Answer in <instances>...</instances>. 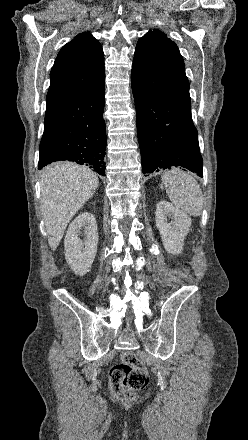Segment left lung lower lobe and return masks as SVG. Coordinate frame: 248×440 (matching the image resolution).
I'll use <instances>...</instances> for the list:
<instances>
[{
	"label": "left lung lower lobe",
	"mask_w": 248,
	"mask_h": 440,
	"mask_svg": "<svg viewBox=\"0 0 248 440\" xmlns=\"http://www.w3.org/2000/svg\"><path fill=\"white\" fill-rule=\"evenodd\" d=\"M144 174L180 166L203 177L198 132L191 111L131 73Z\"/></svg>",
	"instance_id": "0a47b994"
}]
</instances>
